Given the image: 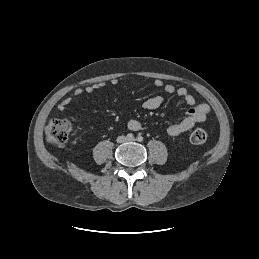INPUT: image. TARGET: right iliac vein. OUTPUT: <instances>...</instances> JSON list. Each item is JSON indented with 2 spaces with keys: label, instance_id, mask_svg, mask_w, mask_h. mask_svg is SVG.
Wrapping results in <instances>:
<instances>
[{
  "label": "right iliac vein",
  "instance_id": "1",
  "mask_svg": "<svg viewBox=\"0 0 259 259\" xmlns=\"http://www.w3.org/2000/svg\"><path fill=\"white\" fill-rule=\"evenodd\" d=\"M126 139L124 138V137H119L118 138V142H120V143H122V142H124Z\"/></svg>",
  "mask_w": 259,
  "mask_h": 259
}]
</instances>
